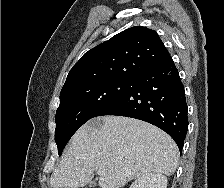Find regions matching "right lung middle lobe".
Here are the masks:
<instances>
[{"mask_svg":"<svg viewBox=\"0 0 224 188\" xmlns=\"http://www.w3.org/2000/svg\"><path fill=\"white\" fill-rule=\"evenodd\" d=\"M131 79H110L68 87L60 93L55 142L61 155L72 135L89 119L101 116L128 91Z\"/></svg>","mask_w":224,"mask_h":188,"instance_id":"dd1d6c3e","label":"right lung middle lobe"}]
</instances>
